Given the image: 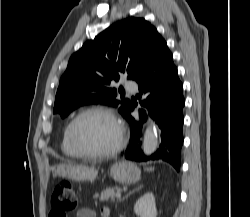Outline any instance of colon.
I'll list each match as a JSON object with an SVG mask.
<instances>
[{
  "mask_svg": "<svg viewBox=\"0 0 250 217\" xmlns=\"http://www.w3.org/2000/svg\"><path fill=\"white\" fill-rule=\"evenodd\" d=\"M76 205L77 197L73 186L67 181L59 182L53 189L49 217H68Z\"/></svg>",
  "mask_w": 250,
  "mask_h": 217,
  "instance_id": "obj_1",
  "label": "colon"
}]
</instances>
